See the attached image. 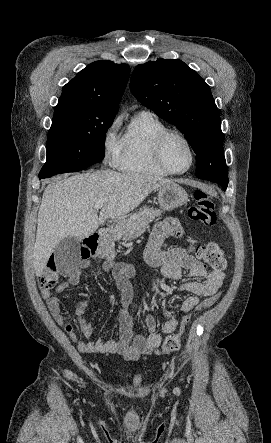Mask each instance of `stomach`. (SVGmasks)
Listing matches in <instances>:
<instances>
[{"label": "stomach", "instance_id": "1", "mask_svg": "<svg viewBox=\"0 0 271 443\" xmlns=\"http://www.w3.org/2000/svg\"><path fill=\"white\" fill-rule=\"evenodd\" d=\"M157 200L163 210H174V208H179L188 202V194L177 184H165L159 188ZM122 235H124V231L119 223L115 227L112 237L113 239H121Z\"/></svg>", "mask_w": 271, "mask_h": 443}]
</instances>
